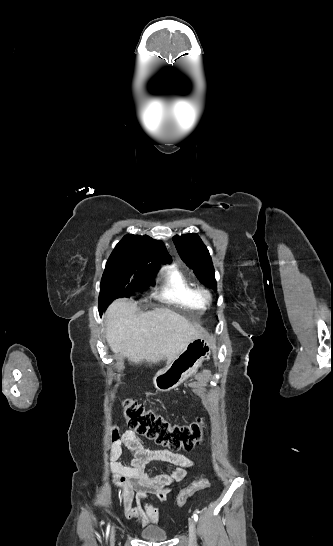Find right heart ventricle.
Returning <instances> with one entry per match:
<instances>
[{
  "instance_id": "obj_1",
  "label": "right heart ventricle",
  "mask_w": 333,
  "mask_h": 546,
  "mask_svg": "<svg viewBox=\"0 0 333 546\" xmlns=\"http://www.w3.org/2000/svg\"><path fill=\"white\" fill-rule=\"evenodd\" d=\"M157 296L170 304L193 310H201L205 308L206 304L201 298L198 288L176 265L168 266L162 270Z\"/></svg>"
}]
</instances>
